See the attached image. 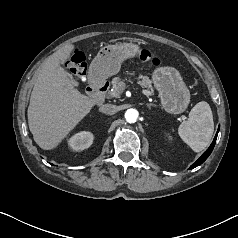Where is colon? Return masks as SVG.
Instances as JSON below:
<instances>
[{
    "mask_svg": "<svg viewBox=\"0 0 238 238\" xmlns=\"http://www.w3.org/2000/svg\"><path fill=\"white\" fill-rule=\"evenodd\" d=\"M140 59L142 61L151 62L154 66H158L160 64V60L158 57H155L148 50H142L140 53ZM69 67L77 80H82L86 75V62L84 55L80 52L73 53L68 61Z\"/></svg>",
    "mask_w": 238,
    "mask_h": 238,
    "instance_id": "1",
    "label": "colon"
}]
</instances>
